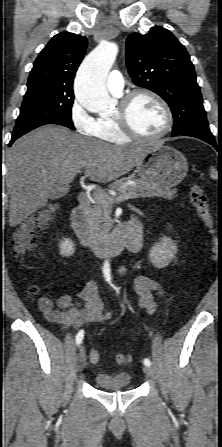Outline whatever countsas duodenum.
<instances>
[{"instance_id": "410a0bca", "label": "duodenum", "mask_w": 222, "mask_h": 447, "mask_svg": "<svg viewBox=\"0 0 222 447\" xmlns=\"http://www.w3.org/2000/svg\"><path fill=\"white\" fill-rule=\"evenodd\" d=\"M91 205V197L86 192L78 196V205L71 216V227L78 242L93 253L113 257L128 249L139 252L142 247V225L138 218L121 222L107 236L95 239L90 236L86 225L87 213Z\"/></svg>"}]
</instances>
